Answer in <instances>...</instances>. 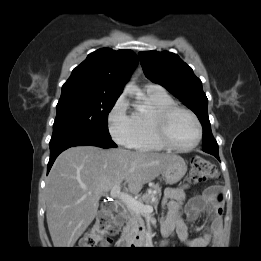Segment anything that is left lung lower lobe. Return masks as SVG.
<instances>
[{"instance_id": "left-lung-lower-lobe-1", "label": "left lung lower lobe", "mask_w": 261, "mask_h": 261, "mask_svg": "<svg viewBox=\"0 0 261 261\" xmlns=\"http://www.w3.org/2000/svg\"><path fill=\"white\" fill-rule=\"evenodd\" d=\"M203 151L209 153V154H212L214 155L219 161V154H218V149H208V148H203Z\"/></svg>"}]
</instances>
